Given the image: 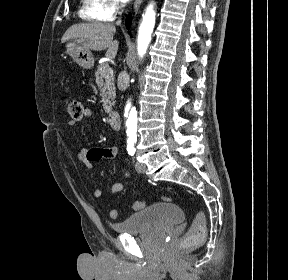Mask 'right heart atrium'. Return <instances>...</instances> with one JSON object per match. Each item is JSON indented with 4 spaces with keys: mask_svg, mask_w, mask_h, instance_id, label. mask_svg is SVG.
<instances>
[{
    "mask_svg": "<svg viewBox=\"0 0 288 280\" xmlns=\"http://www.w3.org/2000/svg\"><path fill=\"white\" fill-rule=\"evenodd\" d=\"M101 14L105 21L114 19L123 6V0H101Z\"/></svg>",
    "mask_w": 288,
    "mask_h": 280,
    "instance_id": "obj_1",
    "label": "right heart atrium"
}]
</instances>
